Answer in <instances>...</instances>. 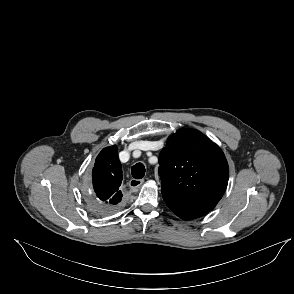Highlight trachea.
Listing matches in <instances>:
<instances>
[{
	"label": "trachea",
	"mask_w": 294,
	"mask_h": 294,
	"mask_svg": "<svg viewBox=\"0 0 294 294\" xmlns=\"http://www.w3.org/2000/svg\"><path fill=\"white\" fill-rule=\"evenodd\" d=\"M132 176L135 179H141L145 175V167L142 163H137L132 167L131 170Z\"/></svg>",
	"instance_id": "obj_1"
}]
</instances>
